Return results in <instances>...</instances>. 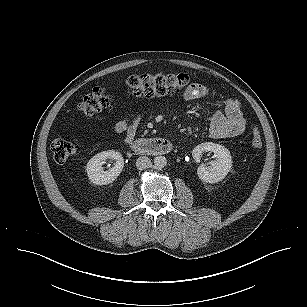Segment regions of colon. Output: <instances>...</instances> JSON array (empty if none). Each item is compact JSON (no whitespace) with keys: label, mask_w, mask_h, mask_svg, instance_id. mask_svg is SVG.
<instances>
[{"label":"colon","mask_w":307,"mask_h":307,"mask_svg":"<svg viewBox=\"0 0 307 307\" xmlns=\"http://www.w3.org/2000/svg\"><path fill=\"white\" fill-rule=\"evenodd\" d=\"M126 85L134 96L154 97L171 93H180L192 85L191 79L182 73H146L133 75L126 79ZM110 96L103 89H95L88 94L80 104V110L85 116L95 113L109 106ZM252 149L262 148L263 140L257 126H254L250 134ZM80 143L77 138L65 136L57 137L52 143V153L57 162H65L78 152Z\"/></svg>","instance_id":"obj_1"}]
</instances>
